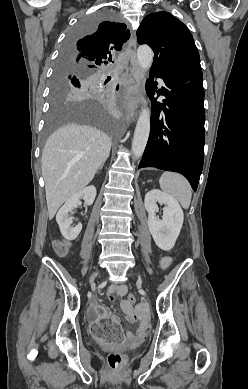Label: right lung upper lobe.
<instances>
[{"label":"right lung upper lobe","mask_w":248,"mask_h":389,"mask_svg":"<svg viewBox=\"0 0 248 389\" xmlns=\"http://www.w3.org/2000/svg\"><path fill=\"white\" fill-rule=\"evenodd\" d=\"M129 37L125 24L102 22L92 33L71 44L69 50L62 54L63 64L95 71L98 66L107 64L111 53L121 50Z\"/></svg>","instance_id":"obj_1"}]
</instances>
